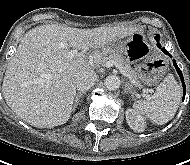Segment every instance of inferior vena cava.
Returning a JSON list of instances; mask_svg holds the SVG:
<instances>
[{"instance_id": "obj_1", "label": "inferior vena cava", "mask_w": 190, "mask_h": 165, "mask_svg": "<svg viewBox=\"0 0 190 165\" xmlns=\"http://www.w3.org/2000/svg\"><path fill=\"white\" fill-rule=\"evenodd\" d=\"M96 81V73L94 71H86L77 76L75 80V85L77 90L84 92L89 90L92 86H94Z\"/></svg>"}]
</instances>
